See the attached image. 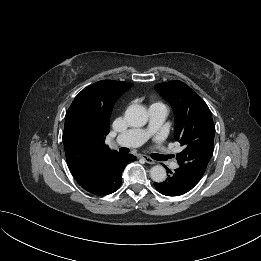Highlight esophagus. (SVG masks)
Returning a JSON list of instances; mask_svg holds the SVG:
<instances>
[{
	"label": "esophagus",
	"instance_id": "1",
	"mask_svg": "<svg viewBox=\"0 0 261 261\" xmlns=\"http://www.w3.org/2000/svg\"><path fill=\"white\" fill-rule=\"evenodd\" d=\"M143 159L148 164H155V161L153 159H151L150 157L144 156Z\"/></svg>",
	"mask_w": 261,
	"mask_h": 261
}]
</instances>
